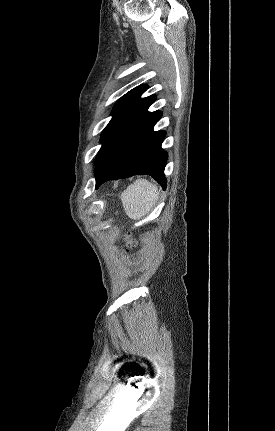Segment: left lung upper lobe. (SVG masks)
Here are the masks:
<instances>
[{
	"label": "left lung upper lobe",
	"mask_w": 275,
	"mask_h": 431,
	"mask_svg": "<svg viewBox=\"0 0 275 431\" xmlns=\"http://www.w3.org/2000/svg\"><path fill=\"white\" fill-rule=\"evenodd\" d=\"M147 88L145 84L140 85L117 101L112 119L101 134L102 147L96 157L95 175L105 171L120 151L159 114L160 111H148L155 95L141 98Z\"/></svg>",
	"instance_id": "left-lung-upper-lobe-1"
}]
</instances>
